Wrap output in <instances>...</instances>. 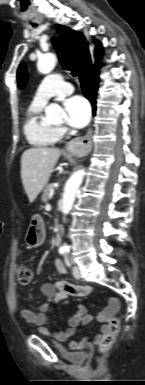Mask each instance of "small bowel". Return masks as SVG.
<instances>
[{"label":"small bowel","instance_id":"1","mask_svg":"<svg viewBox=\"0 0 145 385\" xmlns=\"http://www.w3.org/2000/svg\"><path fill=\"white\" fill-rule=\"evenodd\" d=\"M51 266L55 267L56 270L60 274H66L67 270L64 264L58 260L54 259L50 263ZM64 284L73 285L70 283L65 282H57V283H46L43 284L41 287V292L44 295L46 301L42 303L39 307L38 312H34L28 308H22L20 310V314L23 319L26 321L36 325L39 327L40 333L44 335H48L49 331L45 327L46 321H47V312L49 310V307L52 304H56L60 302L61 300L67 298L68 296H87L90 294L91 288L88 285H74L79 290L80 293L76 295H70L67 293H64L61 290V286ZM12 294V300L15 306V292L14 290L11 291ZM117 306L114 312L110 310L111 307ZM119 308V302L117 299L112 298L110 300L109 307L101 311L98 315V320L102 323L100 327V333L95 335L93 338H85L80 342L77 341H71L69 343V348L73 351H80L83 350L86 347H89L94 344H98L99 341L102 338V335L105 334L108 330V319L111 315H113ZM93 319V316L90 314H87V309L83 305H78L75 311V314L71 316L67 321V328L65 331H56L52 333V336L59 342H65L69 340L76 332V328L81 325H87L90 323Z\"/></svg>","mask_w":145,"mask_h":385}]
</instances>
